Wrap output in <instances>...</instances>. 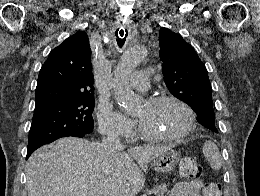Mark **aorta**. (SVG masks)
<instances>
[{"instance_id": "obj_1", "label": "aorta", "mask_w": 260, "mask_h": 196, "mask_svg": "<svg viewBox=\"0 0 260 196\" xmlns=\"http://www.w3.org/2000/svg\"><path fill=\"white\" fill-rule=\"evenodd\" d=\"M147 51L142 46H135L127 49L122 55L117 67L114 70L112 87L115 93V100L124 107L126 112H134L140 98L131 90L129 78L132 72L146 57Z\"/></svg>"}]
</instances>
